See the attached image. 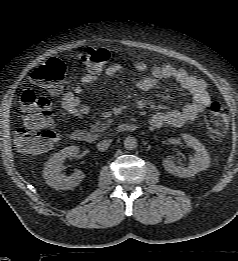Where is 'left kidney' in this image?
Here are the masks:
<instances>
[{
	"mask_svg": "<svg viewBox=\"0 0 238 261\" xmlns=\"http://www.w3.org/2000/svg\"><path fill=\"white\" fill-rule=\"evenodd\" d=\"M182 138L187 146L195 150L194 158L191 160L189 166H177L171 156H167L163 160V166L167 172L175 176L181 178L192 177L210 166V156L205 147L193 136L183 134Z\"/></svg>",
	"mask_w": 238,
	"mask_h": 261,
	"instance_id": "5707ae66",
	"label": "left kidney"
}]
</instances>
